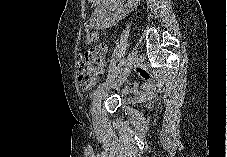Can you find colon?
<instances>
[{
	"instance_id": "1",
	"label": "colon",
	"mask_w": 227,
	"mask_h": 157,
	"mask_svg": "<svg viewBox=\"0 0 227 157\" xmlns=\"http://www.w3.org/2000/svg\"><path fill=\"white\" fill-rule=\"evenodd\" d=\"M99 38V32L91 27H86L84 31V41L90 45ZM105 54V46L100 45L85 51L80 58L78 66V81L84 88L92 86L96 79V70Z\"/></svg>"
}]
</instances>
